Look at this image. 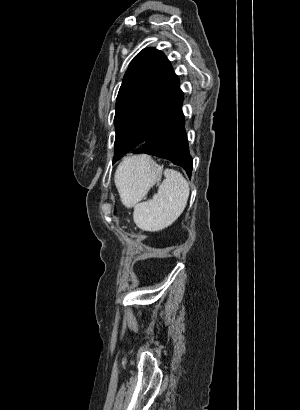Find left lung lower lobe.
Returning a JSON list of instances; mask_svg holds the SVG:
<instances>
[{
	"instance_id": "left-lung-lower-lobe-1",
	"label": "left lung lower lobe",
	"mask_w": 300,
	"mask_h": 410,
	"mask_svg": "<svg viewBox=\"0 0 300 410\" xmlns=\"http://www.w3.org/2000/svg\"><path fill=\"white\" fill-rule=\"evenodd\" d=\"M182 101L161 121L144 145L134 153H145L168 159L181 166L190 176L193 163L184 127Z\"/></svg>"
}]
</instances>
